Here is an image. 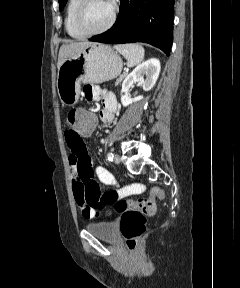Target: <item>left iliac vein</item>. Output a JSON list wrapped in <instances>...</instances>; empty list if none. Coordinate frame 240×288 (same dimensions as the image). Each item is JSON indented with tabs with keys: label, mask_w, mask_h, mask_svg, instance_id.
<instances>
[{
	"label": "left iliac vein",
	"mask_w": 240,
	"mask_h": 288,
	"mask_svg": "<svg viewBox=\"0 0 240 288\" xmlns=\"http://www.w3.org/2000/svg\"><path fill=\"white\" fill-rule=\"evenodd\" d=\"M114 162H115L116 164H119V163H120V156H119L118 154H115V155H114Z\"/></svg>",
	"instance_id": "1"
}]
</instances>
